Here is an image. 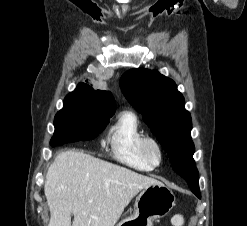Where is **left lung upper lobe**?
I'll use <instances>...</instances> for the list:
<instances>
[{"label": "left lung upper lobe", "mask_w": 247, "mask_h": 226, "mask_svg": "<svg viewBox=\"0 0 247 226\" xmlns=\"http://www.w3.org/2000/svg\"><path fill=\"white\" fill-rule=\"evenodd\" d=\"M120 87L167 152L173 168L195 164L191 116L174 81L157 71L138 68L122 75Z\"/></svg>", "instance_id": "5c2ea615"}]
</instances>
